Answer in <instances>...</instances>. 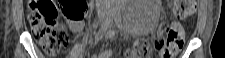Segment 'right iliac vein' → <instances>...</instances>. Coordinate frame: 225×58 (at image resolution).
Segmentation results:
<instances>
[{
	"mask_svg": "<svg viewBox=\"0 0 225 58\" xmlns=\"http://www.w3.org/2000/svg\"><path fill=\"white\" fill-rule=\"evenodd\" d=\"M99 24H100V26H102L104 24V21L100 20Z\"/></svg>",
	"mask_w": 225,
	"mask_h": 58,
	"instance_id": "63e3f726",
	"label": "right iliac vein"
}]
</instances>
